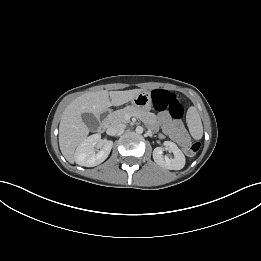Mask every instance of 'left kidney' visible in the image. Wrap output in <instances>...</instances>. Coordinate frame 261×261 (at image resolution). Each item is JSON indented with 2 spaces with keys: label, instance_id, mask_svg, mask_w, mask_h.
I'll return each instance as SVG.
<instances>
[{
  "label": "left kidney",
  "instance_id": "1",
  "mask_svg": "<svg viewBox=\"0 0 261 261\" xmlns=\"http://www.w3.org/2000/svg\"><path fill=\"white\" fill-rule=\"evenodd\" d=\"M164 145L173 153V158L163 156V149L157 147L153 151V159L160 167L169 170H180L185 166V156L177 145L171 141H166Z\"/></svg>",
  "mask_w": 261,
  "mask_h": 261
}]
</instances>
